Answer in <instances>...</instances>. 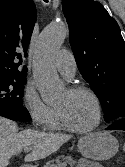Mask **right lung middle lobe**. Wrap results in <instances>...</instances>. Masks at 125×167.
<instances>
[{"mask_svg": "<svg viewBox=\"0 0 125 167\" xmlns=\"http://www.w3.org/2000/svg\"><path fill=\"white\" fill-rule=\"evenodd\" d=\"M25 83V77H0V101L22 105Z\"/></svg>", "mask_w": 125, "mask_h": 167, "instance_id": "obj_1", "label": "right lung middle lobe"}]
</instances>
